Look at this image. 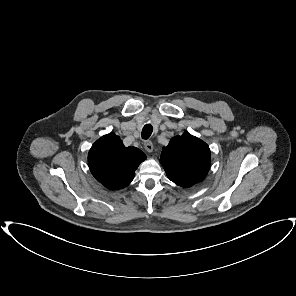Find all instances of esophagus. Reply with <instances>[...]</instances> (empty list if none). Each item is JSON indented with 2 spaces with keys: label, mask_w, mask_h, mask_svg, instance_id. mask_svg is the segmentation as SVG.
Returning <instances> with one entry per match:
<instances>
[{
  "label": "esophagus",
  "mask_w": 296,
  "mask_h": 296,
  "mask_svg": "<svg viewBox=\"0 0 296 296\" xmlns=\"http://www.w3.org/2000/svg\"><path fill=\"white\" fill-rule=\"evenodd\" d=\"M144 148L147 152H152L153 151V144L151 141H145L144 142Z\"/></svg>",
  "instance_id": "obj_1"
}]
</instances>
